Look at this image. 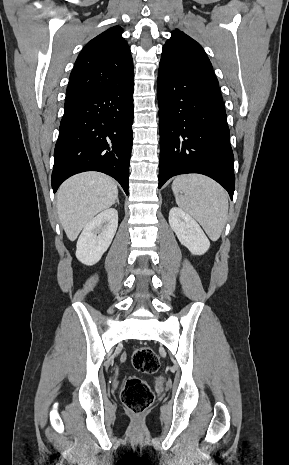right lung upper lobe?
Returning <instances> with one entry per match:
<instances>
[{"mask_svg": "<svg viewBox=\"0 0 289 465\" xmlns=\"http://www.w3.org/2000/svg\"><path fill=\"white\" fill-rule=\"evenodd\" d=\"M122 32L120 26L111 27L82 49L70 74L65 104L119 86L134 75Z\"/></svg>", "mask_w": 289, "mask_h": 465, "instance_id": "right-lung-upper-lobe-1", "label": "right lung upper lobe"}]
</instances>
